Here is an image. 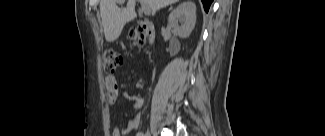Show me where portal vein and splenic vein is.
<instances>
[{"label":"portal vein and splenic vein","instance_id":"obj_1","mask_svg":"<svg viewBox=\"0 0 325 136\" xmlns=\"http://www.w3.org/2000/svg\"><path fill=\"white\" fill-rule=\"evenodd\" d=\"M125 0H120V2H124ZM142 2V0H141ZM142 12L145 14V15H150V9L147 7V5H144L142 4Z\"/></svg>","mask_w":325,"mask_h":136}]
</instances>
